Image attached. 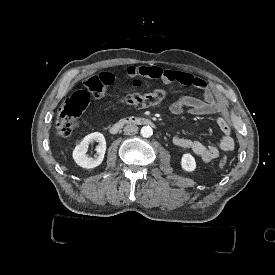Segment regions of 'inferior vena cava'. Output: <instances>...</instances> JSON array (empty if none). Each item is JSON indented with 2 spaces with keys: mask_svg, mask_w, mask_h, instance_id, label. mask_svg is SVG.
<instances>
[{
  "mask_svg": "<svg viewBox=\"0 0 275 275\" xmlns=\"http://www.w3.org/2000/svg\"><path fill=\"white\" fill-rule=\"evenodd\" d=\"M123 131L125 133H134V132H137L138 131V127L136 125H126L124 128H123Z\"/></svg>",
  "mask_w": 275,
  "mask_h": 275,
  "instance_id": "inferior-vena-cava-1",
  "label": "inferior vena cava"
}]
</instances>
